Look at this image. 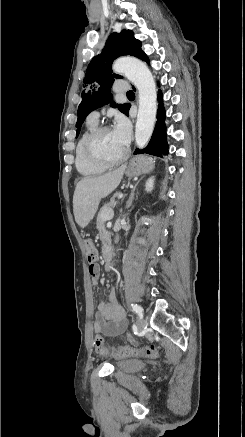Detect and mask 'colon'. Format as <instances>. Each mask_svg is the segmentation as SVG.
Returning <instances> with one entry per match:
<instances>
[{
	"label": "colon",
	"mask_w": 245,
	"mask_h": 437,
	"mask_svg": "<svg viewBox=\"0 0 245 437\" xmlns=\"http://www.w3.org/2000/svg\"><path fill=\"white\" fill-rule=\"evenodd\" d=\"M86 257L90 264L89 271L92 272L96 265L97 251L91 241L86 242ZM94 344L96 351L100 354L112 353L119 357H133V356H146L151 358H157L160 355L159 349L154 346H122V347H109L104 345V338L102 335L97 334L94 338Z\"/></svg>",
	"instance_id": "obj_1"
}]
</instances>
